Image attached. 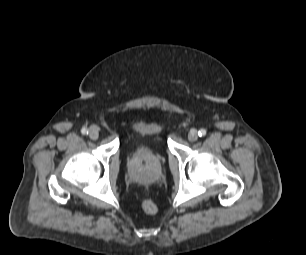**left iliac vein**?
<instances>
[{"label": "left iliac vein", "mask_w": 306, "mask_h": 255, "mask_svg": "<svg viewBox=\"0 0 306 255\" xmlns=\"http://www.w3.org/2000/svg\"><path fill=\"white\" fill-rule=\"evenodd\" d=\"M198 139V133L195 129H192L189 133H188V140L191 142H194Z\"/></svg>", "instance_id": "4c4485c4"}]
</instances>
